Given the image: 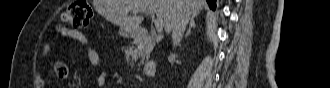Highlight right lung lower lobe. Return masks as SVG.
Segmentation results:
<instances>
[{"label":"right lung lower lobe","mask_w":330,"mask_h":88,"mask_svg":"<svg viewBox=\"0 0 330 88\" xmlns=\"http://www.w3.org/2000/svg\"><path fill=\"white\" fill-rule=\"evenodd\" d=\"M209 6L211 9H215L216 8V2L217 0H207Z\"/></svg>","instance_id":"right-lung-lower-lobe-1"}]
</instances>
